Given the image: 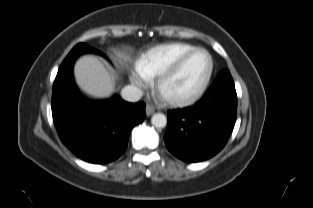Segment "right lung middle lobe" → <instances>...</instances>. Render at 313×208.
<instances>
[{"label": "right lung middle lobe", "instance_id": "right-lung-middle-lobe-1", "mask_svg": "<svg viewBox=\"0 0 313 208\" xmlns=\"http://www.w3.org/2000/svg\"><path fill=\"white\" fill-rule=\"evenodd\" d=\"M87 46H88V45H86V44L79 43L78 45H76V46L71 50V52L68 54V56L76 55L78 52H81V51H83L84 49H87Z\"/></svg>", "mask_w": 313, "mask_h": 208}]
</instances>
